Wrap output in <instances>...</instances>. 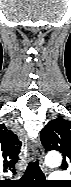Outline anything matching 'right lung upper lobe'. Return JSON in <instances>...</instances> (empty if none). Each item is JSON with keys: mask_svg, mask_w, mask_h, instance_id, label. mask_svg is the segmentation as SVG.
I'll return each instance as SVG.
<instances>
[{"mask_svg": "<svg viewBox=\"0 0 71 187\" xmlns=\"http://www.w3.org/2000/svg\"><path fill=\"white\" fill-rule=\"evenodd\" d=\"M21 141L4 124L0 125V160L5 169L15 172V164L19 160Z\"/></svg>", "mask_w": 71, "mask_h": 187, "instance_id": "1", "label": "right lung upper lobe"}]
</instances>
